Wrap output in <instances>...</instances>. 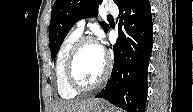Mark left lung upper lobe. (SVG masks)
I'll return each mask as SVG.
<instances>
[{"label": "left lung upper lobe", "instance_id": "obj_1", "mask_svg": "<svg viewBox=\"0 0 193 112\" xmlns=\"http://www.w3.org/2000/svg\"><path fill=\"white\" fill-rule=\"evenodd\" d=\"M129 0H114L119 9ZM102 0H56L52 7L51 22L49 28L50 51L52 60L70 31L72 26L83 18L96 17L97 7ZM105 32L109 30L106 22H100Z\"/></svg>", "mask_w": 193, "mask_h": 112}]
</instances>
